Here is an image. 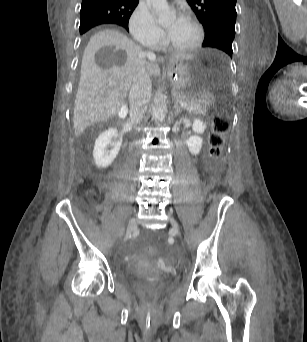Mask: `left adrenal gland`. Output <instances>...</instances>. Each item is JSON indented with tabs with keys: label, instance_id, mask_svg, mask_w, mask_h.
I'll return each instance as SVG.
<instances>
[{
	"label": "left adrenal gland",
	"instance_id": "a2214340",
	"mask_svg": "<svg viewBox=\"0 0 307 342\" xmlns=\"http://www.w3.org/2000/svg\"><path fill=\"white\" fill-rule=\"evenodd\" d=\"M178 112H179V104H178V102H174V114H175V116H178Z\"/></svg>",
	"mask_w": 307,
	"mask_h": 342
}]
</instances>
